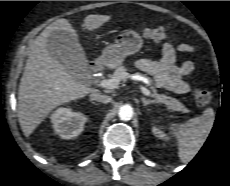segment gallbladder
I'll return each instance as SVG.
<instances>
[{
    "instance_id": "gallbladder-1",
    "label": "gallbladder",
    "mask_w": 230,
    "mask_h": 186,
    "mask_svg": "<svg viewBox=\"0 0 230 186\" xmlns=\"http://www.w3.org/2000/svg\"><path fill=\"white\" fill-rule=\"evenodd\" d=\"M48 50L73 77L82 81L88 75V61L79 42L68 32L55 30L48 37Z\"/></svg>"
}]
</instances>
